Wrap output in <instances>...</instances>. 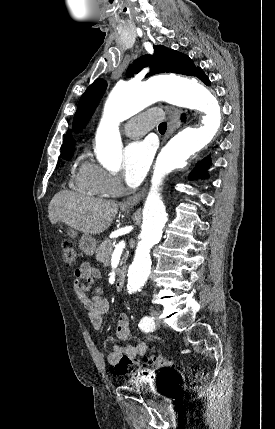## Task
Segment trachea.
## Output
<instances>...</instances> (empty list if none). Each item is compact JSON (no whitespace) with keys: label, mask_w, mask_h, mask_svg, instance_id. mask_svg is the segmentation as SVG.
Here are the masks:
<instances>
[{"label":"trachea","mask_w":275,"mask_h":429,"mask_svg":"<svg viewBox=\"0 0 275 429\" xmlns=\"http://www.w3.org/2000/svg\"><path fill=\"white\" fill-rule=\"evenodd\" d=\"M158 129H159V132H160L161 134H164V133L166 132V129H167V123H166V122H162V123L159 125Z\"/></svg>","instance_id":"obj_1"}]
</instances>
